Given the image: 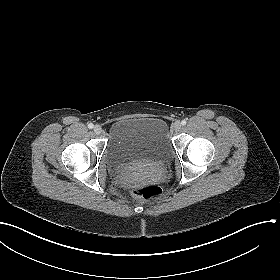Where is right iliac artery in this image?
<instances>
[{
    "label": "right iliac artery",
    "instance_id": "right-iliac-artery-1",
    "mask_svg": "<svg viewBox=\"0 0 280 280\" xmlns=\"http://www.w3.org/2000/svg\"><path fill=\"white\" fill-rule=\"evenodd\" d=\"M93 127H94V125H93L92 123H89V124H88V128H89V129H92Z\"/></svg>",
    "mask_w": 280,
    "mask_h": 280
}]
</instances>
